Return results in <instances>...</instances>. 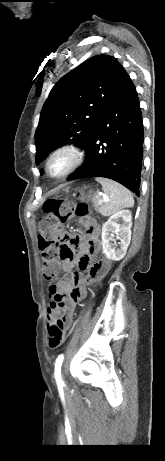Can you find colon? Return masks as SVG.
<instances>
[{"label":"colon","instance_id":"1","mask_svg":"<svg viewBox=\"0 0 165 461\" xmlns=\"http://www.w3.org/2000/svg\"><path fill=\"white\" fill-rule=\"evenodd\" d=\"M43 212L46 217L39 224V245L43 250L44 258L43 276L46 280H54L57 272L53 262L59 257V251H73L71 245L61 243L55 237L59 234L61 225L71 214L85 216L88 207L84 203L74 205L68 200L49 199L43 205ZM107 264V261L103 259L95 262V265L101 269L106 268ZM48 333L51 348H57L64 342V326L61 317H57L49 324Z\"/></svg>","mask_w":165,"mask_h":461}]
</instances>
